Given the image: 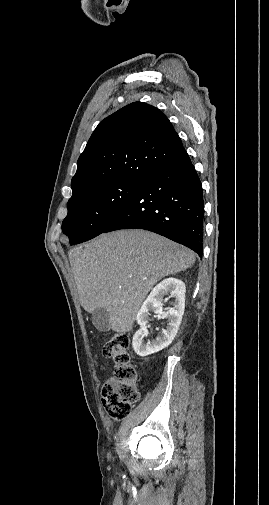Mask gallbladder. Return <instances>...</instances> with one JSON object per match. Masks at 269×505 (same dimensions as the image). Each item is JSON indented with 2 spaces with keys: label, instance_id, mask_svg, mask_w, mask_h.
<instances>
[{
  "label": "gallbladder",
  "instance_id": "bac80fb5",
  "mask_svg": "<svg viewBox=\"0 0 269 505\" xmlns=\"http://www.w3.org/2000/svg\"><path fill=\"white\" fill-rule=\"evenodd\" d=\"M92 322L94 326L101 332L110 330V315L104 308L96 309L92 314Z\"/></svg>",
  "mask_w": 269,
  "mask_h": 505
}]
</instances>
